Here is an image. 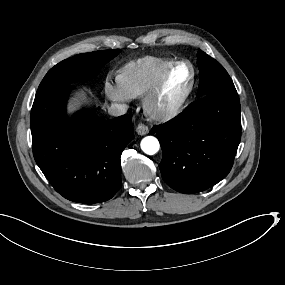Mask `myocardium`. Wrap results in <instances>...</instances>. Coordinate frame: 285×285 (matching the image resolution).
Listing matches in <instances>:
<instances>
[{
  "label": "myocardium",
  "mask_w": 285,
  "mask_h": 285,
  "mask_svg": "<svg viewBox=\"0 0 285 285\" xmlns=\"http://www.w3.org/2000/svg\"><path fill=\"white\" fill-rule=\"evenodd\" d=\"M177 73H181L180 69L172 68L170 67L165 73L159 78V80L155 83V85L150 88L147 92L143 94L142 97V108L143 111L149 115H151L153 118L158 120H167L175 115H177L180 110L183 108V106L187 103L191 92L193 90L194 86V73L191 70L190 71V77H189V83L187 84L186 90L184 91L181 98L178 100L177 103H175L172 106L166 107L162 109L161 111L155 112L152 110V103L154 98L160 94V92L165 87L168 80Z\"/></svg>",
  "instance_id": "1"
}]
</instances>
